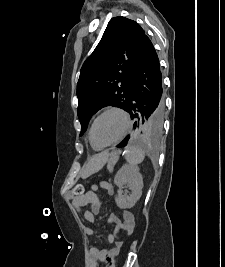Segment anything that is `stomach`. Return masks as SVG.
Instances as JSON below:
<instances>
[{
    "mask_svg": "<svg viewBox=\"0 0 225 267\" xmlns=\"http://www.w3.org/2000/svg\"><path fill=\"white\" fill-rule=\"evenodd\" d=\"M111 160H117V157H113L112 155H109L107 153L99 154L91 159L85 169V173L89 175L97 172L104 166L106 162H109Z\"/></svg>",
    "mask_w": 225,
    "mask_h": 267,
    "instance_id": "1",
    "label": "stomach"
}]
</instances>
